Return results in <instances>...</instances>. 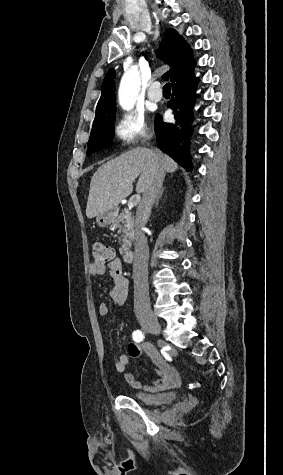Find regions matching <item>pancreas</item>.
<instances>
[{
	"mask_svg": "<svg viewBox=\"0 0 283 475\" xmlns=\"http://www.w3.org/2000/svg\"><path fill=\"white\" fill-rule=\"evenodd\" d=\"M115 228H118L119 232H123L124 236H122V247H119L120 253H127L130 251L132 239H134V218L131 214H125L122 212L118 218H116Z\"/></svg>",
	"mask_w": 283,
	"mask_h": 475,
	"instance_id": "pancreas-1",
	"label": "pancreas"
}]
</instances>
